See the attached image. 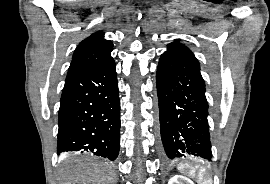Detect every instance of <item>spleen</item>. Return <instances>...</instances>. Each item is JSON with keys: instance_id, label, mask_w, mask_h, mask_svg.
Listing matches in <instances>:
<instances>
[{"instance_id": "spleen-1", "label": "spleen", "mask_w": 270, "mask_h": 184, "mask_svg": "<svg viewBox=\"0 0 270 184\" xmlns=\"http://www.w3.org/2000/svg\"><path fill=\"white\" fill-rule=\"evenodd\" d=\"M184 166L180 169L181 171L183 170ZM191 177L195 178L196 177V169L193 168L190 171L189 174ZM197 182L198 184H212V180L210 178V176L206 173L205 168H199V172L197 175Z\"/></svg>"}]
</instances>
